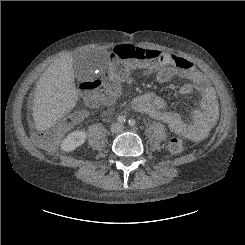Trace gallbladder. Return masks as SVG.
Masks as SVG:
<instances>
[{"instance_id":"obj_1","label":"gallbladder","mask_w":245,"mask_h":245,"mask_svg":"<svg viewBox=\"0 0 245 245\" xmlns=\"http://www.w3.org/2000/svg\"><path fill=\"white\" fill-rule=\"evenodd\" d=\"M74 69H75V71L77 73L78 72V66H75Z\"/></svg>"}]
</instances>
